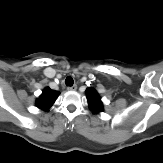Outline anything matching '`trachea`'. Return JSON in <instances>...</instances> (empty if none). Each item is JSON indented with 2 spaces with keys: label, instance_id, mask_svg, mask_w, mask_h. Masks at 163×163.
I'll return each instance as SVG.
<instances>
[{
  "label": "trachea",
  "instance_id": "trachea-1",
  "mask_svg": "<svg viewBox=\"0 0 163 163\" xmlns=\"http://www.w3.org/2000/svg\"><path fill=\"white\" fill-rule=\"evenodd\" d=\"M65 84H66V86H72L73 84H74V80H73V78L72 77H67L66 78V80H65Z\"/></svg>",
  "mask_w": 163,
  "mask_h": 163
}]
</instances>
